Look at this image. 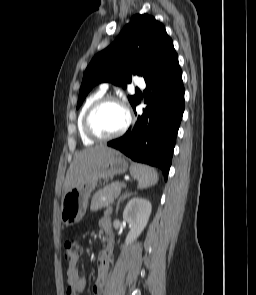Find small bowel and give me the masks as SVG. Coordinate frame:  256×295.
I'll return each instance as SVG.
<instances>
[{
  "label": "small bowel",
  "instance_id": "small-bowel-1",
  "mask_svg": "<svg viewBox=\"0 0 256 295\" xmlns=\"http://www.w3.org/2000/svg\"><path fill=\"white\" fill-rule=\"evenodd\" d=\"M100 227L107 235V244L100 252L97 260V278L92 287V295H102L105 289L111 256L113 252V238L111 222L108 216L100 220ZM67 295H80L86 288V280L78 270V258L69 261L67 266Z\"/></svg>",
  "mask_w": 256,
  "mask_h": 295
}]
</instances>
